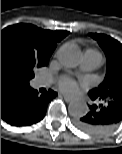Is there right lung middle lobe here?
I'll return each instance as SVG.
<instances>
[{
  "instance_id": "dd1d6c3e",
  "label": "right lung middle lobe",
  "mask_w": 122,
  "mask_h": 154,
  "mask_svg": "<svg viewBox=\"0 0 122 154\" xmlns=\"http://www.w3.org/2000/svg\"><path fill=\"white\" fill-rule=\"evenodd\" d=\"M48 62L37 58L17 37L1 36V78L16 87L29 85L34 70Z\"/></svg>"
}]
</instances>
